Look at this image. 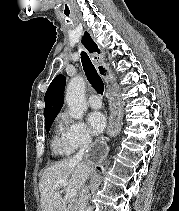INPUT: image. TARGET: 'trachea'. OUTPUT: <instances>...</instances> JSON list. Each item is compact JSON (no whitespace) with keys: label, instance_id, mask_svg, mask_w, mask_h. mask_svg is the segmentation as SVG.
I'll use <instances>...</instances> for the list:
<instances>
[{"label":"trachea","instance_id":"1","mask_svg":"<svg viewBox=\"0 0 179 211\" xmlns=\"http://www.w3.org/2000/svg\"><path fill=\"white\" fill-rule=\"evenodd\" d=\"M81 62L89 82L98 93L102 94L104 91V83L85 52H81Z\"/></svg>","mask_w":179,"mask_h":211}]
</instances>
